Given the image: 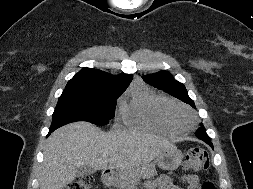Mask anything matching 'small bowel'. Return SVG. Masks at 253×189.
<instances>
[{
  "instance_id": "small-bowel-1",
  "label": "small bowel",
  "mask_w": 253,
  "mask_h": 189,
  "mask_svg": "<svg viewBox=\"0 0 253 189\" xmlns=\"http://www.w3.org/2000/svg\"><path fill=\"white\" fill-rule=\"evenodd\" d=\"M186 183V189H200L197 176L193 174L184 175L182 178ZM150 189H177L169 176H161L156 181L149 184Z\"/></svg>"
}]
</instances>
